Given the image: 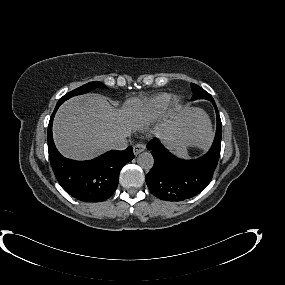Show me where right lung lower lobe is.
Masks as SVG:
<instances>
[{
	"label": "right lung lower lobe",
	"instance_id": "obj_1",
	"mask_svg": "<svg viewBox=\"0 0 285 285\" xmlns=\"http://www.w3.org/2000/svg\"><path fill=\"white\" fill-rule=\"evenodd\" d=\"M60 105H56L48 125V152L54 174L62 188L72 197L83 202L104 201L116 190L122 167L134 158L133 148L109 151L89 161L63 157L52 137L53 118Z\"/></svg>",
	"mask_w": 285,
	"mask_h": 285
}]
</instances>
